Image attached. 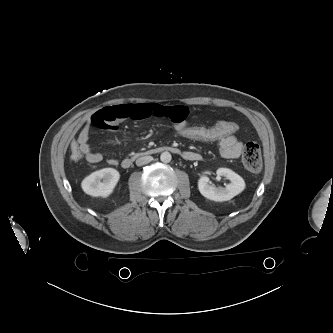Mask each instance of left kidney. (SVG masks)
I'll use <instances>...</instances> for the list:
<instances>
[{
  "mask_svg": "<svg viewBox=\"0 0 333 333\" xmlns=\"http://www.w3.org/2000/svg\"><path fill=\"white\" fill-rule=\"evenodd\" d=\"M217 175L224 176L230 181V183L225 187H216L215 185L210 184L208 177H201L198 182V188L205 198L218 202L228 201L245 189L244 179L232 170L219 168L217 170Z\"/></svg>",
  "mask_w": 333,
  "mask_h": 333,
  "instance_id": "left-kidney-1",
  "label": "left kidney"
}]
</instances>
